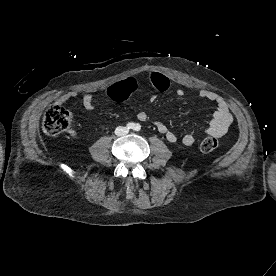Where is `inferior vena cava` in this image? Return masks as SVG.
<instances>
[{"label":"inferior vena cava","instance_id":"602c4592","mask_svg":"<svg viewBox=\"0 0 276 276\" xmlns=\"http://www.w3.org/2000/svg\"><path fill=\"white\" fill-rule=\"evenodd\" d=\"M128 133V129L126 127L119 126L115 129V134L117 136H123Z\"/></svg>","mask_w":276,"mask_h":276}]
</instances>
